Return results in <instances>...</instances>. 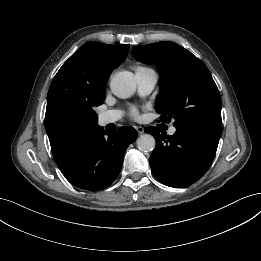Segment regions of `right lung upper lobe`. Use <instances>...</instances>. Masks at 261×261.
I'll use <instances>...</instances> for the list:
<instances>
[{
  "mask_svg": "<svg viewBox=\"0 0 261 261\" xmlns=\"http://www.w3.org/2000/svg\"><path fill=\"white\" fill-rule=\"evenodd\" d=\"M129 47L88 42L54 77L47 95L45 128L58 166L100 128L93 109L105 100L109 76L126 58Z\"/></svg>",
  "mask_w": 261,
  "mask_h": 261,
  "instance_id": "obj_1",
  "label": "right lung upper lobe"
}]
</instances>
